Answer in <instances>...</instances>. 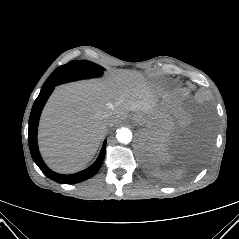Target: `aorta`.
<instances>
[{
  "instance_id": "aorta-1",
  "label": "aorta",
  "mask_w": 239,
  "mask_h": 239,
  "mask_svg": "<svg viewBox=\"0 0 239 239\" xmlns=\"http://www.w3.org/2000/svg\"><path fill=\"white\" fill-rule=\"evenodd\" d=\"M132 137L133 135L131 130L126 127H122L116 131V138L122 144H129L132 140Z\"/></svg>"
}]
</instances>
